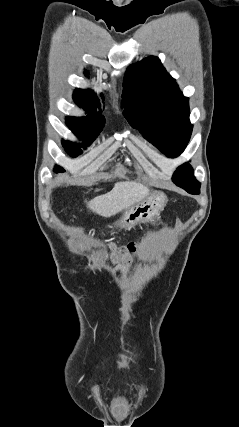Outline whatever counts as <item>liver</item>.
<instances>
[{
	"instance_id": "1",
	"label": "liver",
	"mask_w": 239,
	"mask_h": 427,
	"mask_svg": "<svg viewBox=\"0 0 239 427\" xmlns=\"http://www.w3.org/2000/svg\"><path fill=\"white\" fill-rule=\"evenodd\" d=\"M149 195V189L141 183L117 182L114 188L88 202V208L94 213L110 217L142 202Z\"/></svg>"
}]
</instances>
